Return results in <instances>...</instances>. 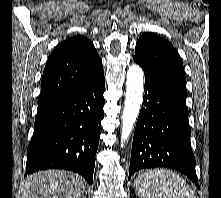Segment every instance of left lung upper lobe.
<instances>
[{"instance_id":"left-lung-upper-lobe-1","label":"left lung upper lobe","mask_w":221,"mask_h":198,"mask_svg":"<svg viewBox=\"0 0 221 198\" xmlns=\"http://www.w3.org/2000/svg\"><path fill=\"white\" fill-rule=\"evenodd\" d=\"M134 61L176 97L186 102L187 90L182 61L175 48L154 33L143 34L136 43Z\"/></svg>"}]
</instances>
